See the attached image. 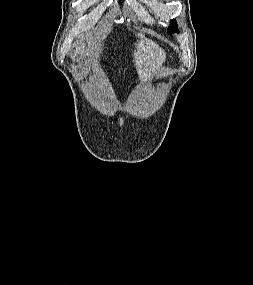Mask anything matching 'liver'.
I'll use <instances>...</instances> for the list:
<instances>
[{
	"label": "liver",
	"mask_w": 253,
	"mask_h": 285,
	"mask_svg": "<svg viewBox=\"0 0 253 285\" xmlns=\"http://www.w3.org/2000/svg\"><path fill=\"white\" fill-rule=\"evenodd\" d=\"M137 51H134V65L141 81L150 79L166 60V53L159 45L152 40L141 39L135 44ZM84 47L77 49L83 54ZM88 54V52H87Z\"/></svg>",
	"instance_id": "1"
}]
</instances>
